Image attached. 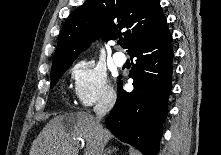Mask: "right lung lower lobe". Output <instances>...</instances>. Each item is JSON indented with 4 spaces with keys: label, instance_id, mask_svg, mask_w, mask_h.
Segmentation results:
<instances>
[{
    "label": "right lung lower lobe",
    "instance_id": "obj_1",
    "mask_svg": "<svg viewBox=\"0 0 221 155\" xmlns=\"http://www.w3.org/2000/svg\"><path fill=\"white\" fill-rule=\"evenodd\" d=\"M167 24L141 37L128 52L136 58L130 72L134 90L126 93L118 83V98L106 127L122 142L144 155H157L162 123L171 91L173 49ZM121 76H119V79Z\"/></svg>",
    "mask_w": 221,
    "mask_h": 155
}]
</instances>
